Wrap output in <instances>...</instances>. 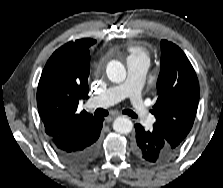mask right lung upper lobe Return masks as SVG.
Here are the masks:
<instances>
[{
    "mask_svg": "<svg viewBox=\"0 0 223 188\" xmlns=\"http://www.w3.org/2000/svg\"><path fill=\"white\" fill-rule=\"evenodd\" d=\"M95 40L68 42L47 61L37 89V106L49 137L84 129L96 118L77 112L80 99L88 98L89 47Z\"/></svg>",
    "mask_w": 223,
    "mask_h": 188,
    "instance_id": "1",
    "label": "right lung upper lobe"
}]
</instances>
